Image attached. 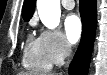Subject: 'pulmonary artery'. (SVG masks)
<instances>
[{
  "instance_id": "pulmonary-artery-1",
  "label": "pulmonary artery",
  "mask_w": 107,
  "mask_h": 75,
  "mask_svg": "<svg viewBox=\"0 0 107 75\" xmlns=\"http://www.w3.org/2000/svg\"><path fill=\"white\" fill-rule=\"evenodd\" d=\"M64 8L71 10L74 8V1L73 0H62L61 1Z\"/></svg>"
}]
</instances>
